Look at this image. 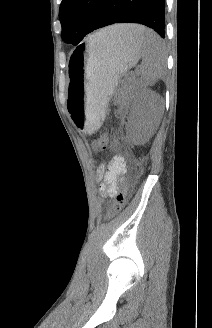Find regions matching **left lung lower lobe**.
I'll return each instance as SVG.
<instances>
[{
  "mask_svg": "<svg viewBox=\"0 0 212 328\" xmlns=\"http://www.w3.org/2000/svg\"><path fill=\"white\" fill-rule=\"evenodd\" d=\"M165 0H105L94 30L114 23H139L165 38Z\"/></svg>",
  "mask_w": 212,
  "mask_h": 328,
  "instance_id": "0a47b994",
  "label": "left lung lower lobe"
}]
</instances>
